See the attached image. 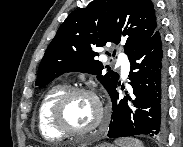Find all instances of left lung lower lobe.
<instances>
[{
    "label": "left lung lower lobe",
    "instance_id": "left-lung-lower-lobe-1",
    "mask_svg": "<svg viewBox=\"0 0 183 147\" xmlns=\"http://www.w3.org/2000/svg\"><path fill=\"white\" fill-rule=\"evenodd\" d=\"M128 57L133 94L119 99L120 83L109 94L113 112L108 136H162L167 113V67L160 28Z\"/></svg>",
    "mask_w": 183,
    "mask_h": 147
}]
</instances>
